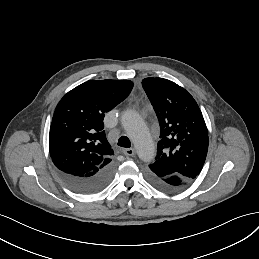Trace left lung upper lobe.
<instances>
[{
    "label": "left lung upper lobe",
    "mask_w": 259,
    "mask_h": 259,
    "mask_svg": "<svg viewBox=\"0 0 259 259\" xmlns=\"http://www.w3.org/2000/svg\"><path fill=\"white\" fill-rule=\"evenodd\" d=\"M160 125L155 162L148 171L158 177L194 180L208 151V130L194 98L176 83L163 78L142 80Z\"/></svg>",
    "instance_id": "1"
}]
</instances>
